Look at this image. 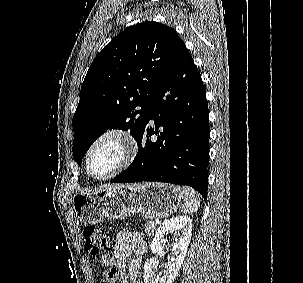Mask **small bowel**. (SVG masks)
Wrapping results in <instances>:
<instances>
[{"label": "small bowel", "mask_w": 303, "mask_h": 283, "mask_svg": "<svg viewBox=\"0 0 303 283\" xmlns=\"http://www.w3.org/2000/svg\"><path fill=\"white\" fill-rule=\"evenodd\" d=\"M147 246L138 232L122 231L117 235L113 253L101 257V265L105 268L116 269L117 277L103 278L106 283H142L139 279V270L146 254ZM135 256L128 264L131 254Z\"/></svg>", "instance_id": "1"}]
</instances>
